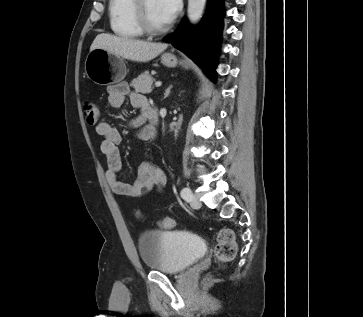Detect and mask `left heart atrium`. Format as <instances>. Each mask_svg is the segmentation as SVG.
I'll use <instances>...</instances> for the list:
<instances>
[{
  "mask_svg": "<svg viewBox=\"0 0 363 317\" xmlns=\"http://www.w3.org/2000/svg\"><path fill=\"white\" fill-rule=\"evenodd\" d=\"M158 1L166 23L172 22L180 10L181 0H158Z\"/></svg>",
  "mask_w": 363,
  "mask_h": 317,
  "instance_id": "obj_1",
  "label": "left heart atrium"
}]
</instances>
